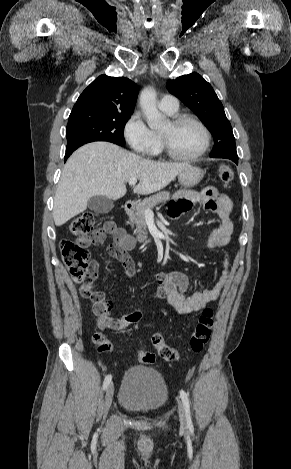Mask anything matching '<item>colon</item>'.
Returning <instances> with one entry per match:
<instances>
[{
  "mask_svg": "<svg viewBox=\"0 0 291 469\" xmlns=\"http://www.w3.org/2000/svg\"><path fill=\"white\" fill-rule=\"evenodd\" d=\"M218 176L223 185H229L233 178V170L225 164L218 169ZM96 223V214L84 212L75 217L70 225L71 234L77 237L76 240H66L62 243V257L69 273L75 283L80 284V293L83 297L89 299L92 303L91 312L96 320V325L100 330L93 336V341L100 352L111 351V343L104 337L101 331L108 329L112 325L113 318L109 312L111 302L106 300L103 293L95 290L97 279V270L90 261L87 246L99 241L102 237L101 230L94 228ZM109 252L121 259L126 273L130 276L134 273V264L118 247L111 245ZM214 317L211 309L206 308L202 311L195 325L189 346L193 352H201L208 343L213 329ZM151 343L156 349L160 358L165 361H175L179 357L178 351L168 345L163 335L156 332L151 337ZM139 361L145 365L153 364L156 355L152 352L139 351Z\"/></svg>",
  "mask_w": 291,
  "mask_h": 469,
  "instance_id": "1",
  "label": "colon"
}]
</instances>
